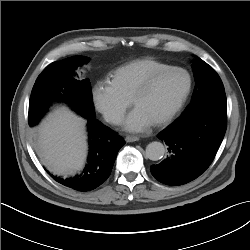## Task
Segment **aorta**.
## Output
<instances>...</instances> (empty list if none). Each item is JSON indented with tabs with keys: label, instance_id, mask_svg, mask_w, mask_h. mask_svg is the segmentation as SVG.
<instances>
[{
	"label": "aorta",
	"instance_id": "762f6f07",
	"mask_svg": "<svg viewBox=\"0 0 250 250\" xmlns=\"http://www.w3.org/2000/svg\"><path fill=\"white\" fill-rule=\"evenodd\" d=\"M165 147L160 142H151L146 147V157L152 161H158L163 158Z\"/></svg>",
	"mask_w": 250,
	"mask_h": 250
}]
</instances>
